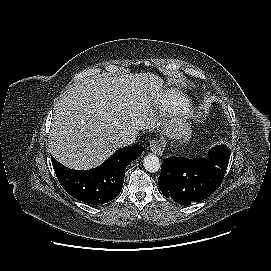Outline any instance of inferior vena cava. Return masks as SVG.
<instances>
[{"label":"inferior vena cava","instance_id":"inferior-vena-cava-1","mask_svg":"<svg viewBox=\"0 0 271 271\" xmlns=\"http://www.w3.org/2000/svg\"><path fill=\"white\" fill-rule=\"evenodd\" d=\"M137 132H122L115 140V144L118 148L132 145L135 142Z\"/></svg>","mask_w":271,"mask_h":271}]
</instances>
